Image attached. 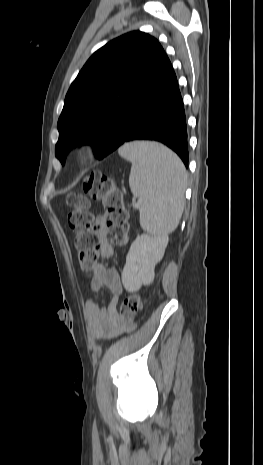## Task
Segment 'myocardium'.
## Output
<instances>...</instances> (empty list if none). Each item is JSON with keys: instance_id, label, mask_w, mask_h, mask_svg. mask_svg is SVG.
Here are the masks:
<instances>
[{"instance_id": "1", "label": "myocardium", "mask_w": 263, "mask_h": 465, "mask_svg": "<svg viewBox=\"0 0 263 465\" xmlns=\"http://www.w3.org/2000/svg\"><path fill=\"white\" fill-rule=\"evenodd\" d=\"M98 154V146L94 142H85L77 146L74 154L75 161L80 166L91 163Z\"/></svg>"}]
</instances>
